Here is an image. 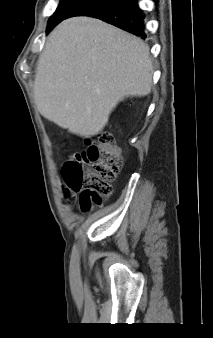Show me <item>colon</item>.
Instances as JSON below:
<instances>
[{
  "mask_svg": "<svg viewBox=\"0 0 213 338\" xmlns=\"http://www.w3.org/2000/svg\"><path fill=\"white\" fill-rule=\"evenodd\" d=\"M87 145L61 168L65 187L72 193H81L83 212H89L94 205L101 206L102 198L111 195V182L120 174L123 162L122 152L110 134L90 137Z\"/></svg>",
  "mask_w": 213,
  "mask_h": 338,
  "instance_id": "5ec220e1",
  "label": "colon"
}]
</instances>
